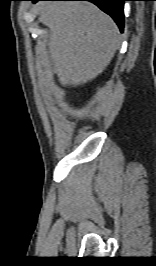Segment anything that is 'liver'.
<instances>
[{"label":"liver","instance_id":"6515ba94","mask_svg":"<svg viewBox=\"0 0 156 266\" xmlns=\"http://www.w3.org/2000/svg\"><path fill=\"white\" fill-rule=\"evenodd\" d=\"M40 21L49 28L48 53L61 85L95 79L120 46L115 22L89 2H42Z\"/></svg>","mask_w":156,"mask_h":266}]
</instances>
